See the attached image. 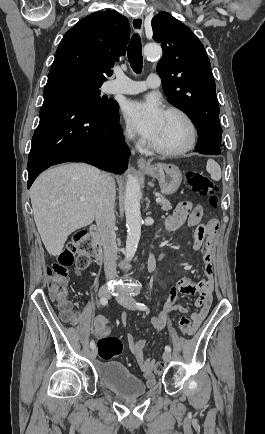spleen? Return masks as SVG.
<instances>
[{"label":"spleen","mask_w":265,"mask_h":434,"mask_svg":"<svg viewBox=\"0 0 265 434\" xmlns=\"http://www.w3.org/2000/svg\"><path fill=\"white\" fill-rule=\"evenodd\" d=\"M206 170L209 172L212 180H215V182L221 180V168L217 162H214V160H208Z\"/></svg>","instance_id":"spleen-1"}]
</instances>
